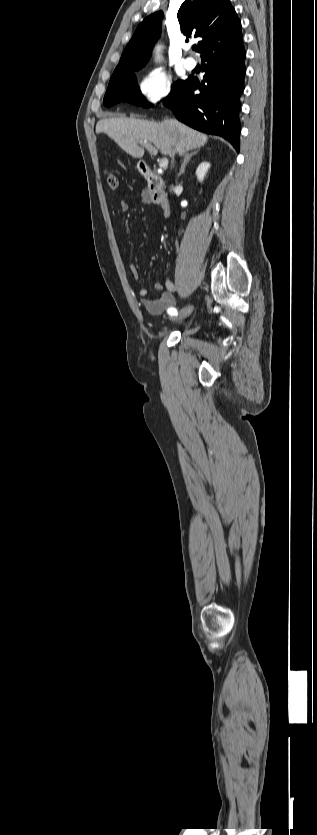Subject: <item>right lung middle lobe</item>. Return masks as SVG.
I'll use <instances>...</instances> for the list:
<instances>
[{
  "instance_id": "obj_1",
  "label": "right lung middle lobe",
  "mask_w": 317,
  "mask_h": 835,
  "mask_svg": "<svg viewBox=\"0 0 317 835\" xmlns=\"http://www.w3.org/2000/svg\"><path fill=\"white\" fill-rule=\"evenodd\" d=\"M134 71L137 70L114 71L104 96L103 103L105 106L110 107L121 101L130 102L142 107L151 106L139 91L136 77L133 74ZM186 82L187 80L177 81L171 94L181 88Z\"/></svg>"
}]
</instances>
